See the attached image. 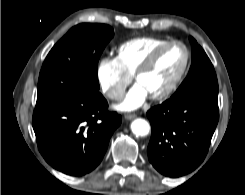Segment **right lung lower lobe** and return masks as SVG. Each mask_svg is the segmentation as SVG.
<instances>
[{
    "instance_id": "right-lung-lower-lobe-1",
    "label": "right lung lower lobe",
    "mask_w": 245,
    "mask_h": 195,
    "mask_svg": "<svg viewBox=\"0 0 245 195\" xmlns=\"http://www.w3.org/2000/svg\"><path fill=\"white\" fill-rule=\"evenodd\" d=\"M105 98L96 93L36 106L33 128L40 153L55 169L82 176L101 162L121 116L108 113Z\"/></svg>"
}]
</instances>
